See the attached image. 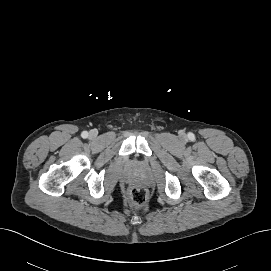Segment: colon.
<instances>
[{"mask_svg":"<svg viewBox=\"0 0 271 271\" xmlns=\"http://www.w3.org/2000/svg\"><path fill=\"white\" fill-rule=\"evenodd\" d=\"M130 200L134 207H143L148 200L147 190L141 186H134L130 191Z\"/></svg>","mask_w":271,"mask_h":271,"instance_id":"5ec220e1","label":"colon"}]
</instances>
